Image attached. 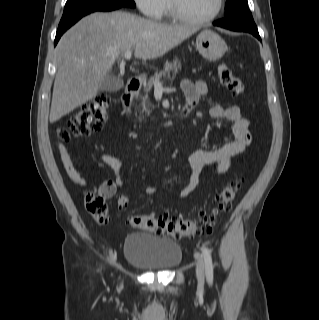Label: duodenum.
I'll return each mask as SVG.
<instances>
[{"mask_svg":"<svg viewBox=\"0 0 319 320\" xmlns=\"http://www.w3.org/2000/svg\"><path fill=\"white\" fill-rule=\"evenodd\" d=\"M141 86L140 77H132L128 80L126 84L125 93L123 95V102L125 105H128L132 96L139 90ZM184 115L187 116L188 112H184Z\"/></svg>","mask_w":319,"mask_h":320,"instance_id":"1","label":"duodenum"}]
</instances>
